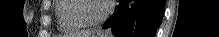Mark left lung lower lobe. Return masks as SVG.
<instances>
[{
  "instance_id": "left-lung-lower-lobe-1",
  "label": "left lung lower lobe",
  "mask_w": 219,
  "mask_h": 37,
  "mask_svg": "<svg viewBox=\"0 0 219 37\" xmlns=\"http://www.w3.org/2000/svg\"><path fill=\"white\" fill-rule=\"evenodd\" d=\"M164 9L165 0H119L103 28H110L115 37H154Z\"/></svg>"
}]
</instances>
